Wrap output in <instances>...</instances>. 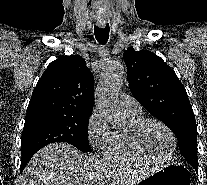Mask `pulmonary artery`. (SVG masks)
I'll list each match as a JSON object with an SVG mask.
<instances>
[{
    "mask_svg": "<svg viewBox=\"0 0 207 185\" xmlns=\"http://www.w3.org/2000/svg\"><path fill=\"white\" fill-rule=\"evenodd\" d=\"M120 106L127 113L137 114L141 111L139 103L133 97L125 94L120 95Z\"/></svg>",
    "mask_w": 207,
    "mask_h": 185,
    "instance_id": "pulmonary-artery-1",
    "label": "pulmonary artery"
}]
</instances>
